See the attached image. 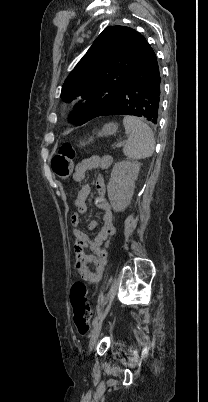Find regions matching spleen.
<instances>
[{
	"label": "spleen",
	"instance_id": "1",
	"mask_svg": "<svg viewBox=\"0 0 208 402\" xmlns=\"http://www.w3.org/2000/svg\"><path fill=\"white\" fill-rule=\"evenodd\" d=\"M123 126L126 134H129L123 148L124 156H127L129 160H143L152 156L155 140L151 128L136 116H125Z\"/></svg>",
	"mask_w": 208,
	"mask_h": 402
}]
</instances>
